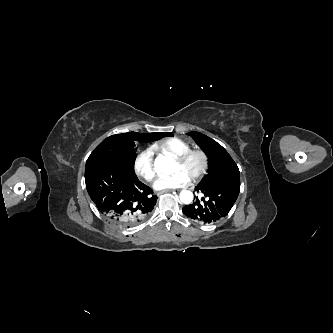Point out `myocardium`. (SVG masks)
<instances>
[{
    "label": "myocardium",
    "mask_w": 333,
    "mask_h": 333,
    "mask_svg": "<svg viewBox=\"0 0 333 333\" xmlns=\"http://www.w3.org/2000/svg\"><path fill=\"white\" fill-rule=\"evenodd\" d=\"M195 156L200 158L201 167L199 171L194 176L191 177V180L194 182L201 180L208 171L209 157L207 153L201 149H190L189 151L176 157V162L183 165L186 164L192 157Z\"/></svg>",
    "instance_id": "obj_1"
}]
</instances>
